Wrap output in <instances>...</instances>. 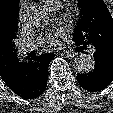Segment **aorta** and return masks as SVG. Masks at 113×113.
Listing matches in <instances>:
<instances>
[{
    "label": "aorta",
    "instance_id": "obj_1",
    "mask_svg": "<svg viewBox=\"0 0 113 113\" xmlns=\"http://www.w3.org/2000/svg\"><path fill=\"white\" fill-rule=\"evenodd\" d=\"M32 19L40 20L44 23L48 21V15L36 9H31L27 13ZM95 61L94 58L87 54H80L74 58L73 67L80 74H86L94 69Z\"/></svg>",
    "mask_w": 113,
    "mask_h": 113
}]
</instances>
